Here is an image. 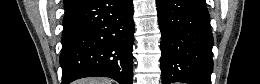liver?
I'll list each match as a JSON object with an SVG mask.
<instances>
[{"label":"liver","mask_w":260,"mask_h":84,"mask_svg":"<svg viewBox=\"0 0 260 84\" xmlns=\"http://www.w3.org/2000/svg\"><path fill=\"white\" fill-rule=\"evenodd\" d=\"M112 80L108 78H101V77H92L81 79L77 81V84H111Z\"/></svg>","instance_id":"liver-1"}]
</instances>
